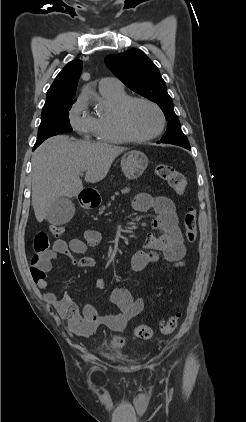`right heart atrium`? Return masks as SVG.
Masks as SVG:
<instances>
[{
	"mask_svg": "<svg viewBox=\"0 0 246 422\" xmlns=\"http://www.w3.org/2000/svg\"><path fill=\"white\" fill-rule=\"evenodd\" d=\"M69 122L72 128L81 136H95V118L91 116L82 98H78L69 110Z\"/></svg>",
	"mask_w": 246,
	"mask_h": 422,
	"instance_id": "obj_1",
	"label": "right heart atrium"
}]
</instances>
